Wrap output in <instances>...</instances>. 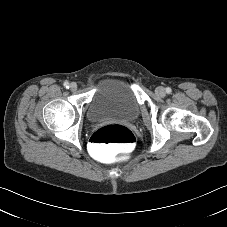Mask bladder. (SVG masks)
<instances>
[{"label": "bladder", "mask_w": 227, "mask_h": 227, "mask_svg": "<svg viewBox=\"0 0 227 227\" xmlns=\"http://www.w3.org/2000/svg\"><path fill=\"white\" fill-rule=\"evenodd\" d=\"M140 106L133 89L120 76L107 77L95 91L86 108L89 122L133 121Z\"/></svg>", "instance_id": "obj_1"}]
</instances>
